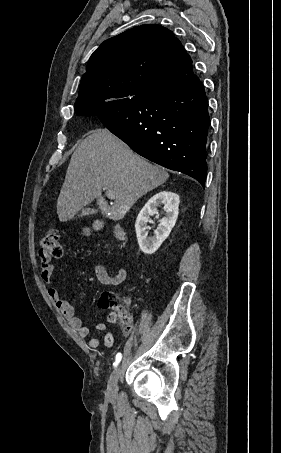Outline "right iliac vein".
<instances>
[{
  "label": "right iliac vein",
  "instance_id": "obj_1",
  "mask_svg": "<svg viewBox=\"0 0 281 453\" xmlns=\"http://www.w3.org/2000/svg\"><path fill=\"white\" fill-rule=\"evenodd\" d=\"M122 369L123 368L120 366L118 369H116L114 371V374L111 375V377L109 379V383H108L109 386L107 388L108 393H115L116 387H117L116 386V384H117L116 381L118 380V378H119L118 376L121 374V370Z\"/></svg>",
  "mask_w": 281,
  "mask_h": 453
}]
</instances>
